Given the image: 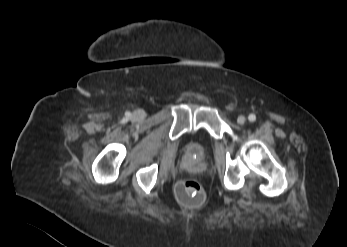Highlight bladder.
<instances>
[{"mask_svg": "<svg viewBox=\"0 0 347 247\" xmlns=\"http://www.w3.org/2000/svg\"><path fill=\"white\" fill-rule=\"evenodd\" d=\"M208 144L205 140H195L187 145L191 158L202 159L207 152Z\"/></svg>", "mask_w": 347, "mask_h": 247, "instance_id": "1", "label": "bladder"}]
</instances>
